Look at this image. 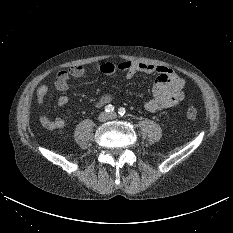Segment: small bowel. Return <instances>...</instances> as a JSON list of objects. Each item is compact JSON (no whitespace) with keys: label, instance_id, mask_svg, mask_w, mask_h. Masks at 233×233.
<instances>
[{"label":"small bowel","instance_id":"1","mask_svg":"<svg viewBox=\"0 0 233 233\" xmlns=\"http://www.w3.org/2000/svg\"><path fill=\"white\" fill-rule=\"evenodd\" d=\"M92 69L103 74H113L119 71L128 78H132L138 73L157 74L152 87V97L145 103V109L150 112L178 106L185 98L184 79L167 66L125 60L119 63H96L92 65ZM86 71L87 69L82 65H75L67 70L60 71L55 77L54 84L56 89L59 91L67 90L71 79L83 77ZM48 92L49 88L47 85H41L37 90V114L39 121L46 129H61L65 126V120L61 116L50 119L45 112V101ZM113 98V94L101 96L96 102V107H103L110 103ZM68 101L67 96H60L57 100V107L59 109L63 108Z\"/></svg>","mask_w":233,"mask_h":233}]
</instances>
